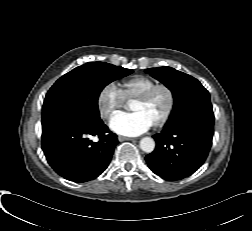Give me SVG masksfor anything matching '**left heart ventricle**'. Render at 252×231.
<instances>
[{
	"mask_svg": "<svg viewBox=\"0 0 252 231\" xmlns=\"http://www.w3.org/2000/svg\"><path fill=\"white\" fill-rule=\"evenodd\" d=\"M168 104V97L164 90H159L149 102H140L135 100L132 105V111L141 112L152 122H156L165 112Z\"/></svg>",
	"mask_w": 252,
	"mask_h": 231,
	"instance_id": "obj_1",
	"label": "left heart ventricle"
}]
</instances>
